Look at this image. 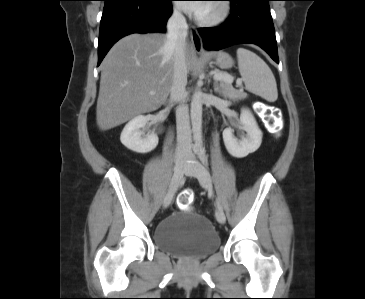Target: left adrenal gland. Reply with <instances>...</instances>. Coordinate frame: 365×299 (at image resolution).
I'll return each instance as SVG.
<instances>
[{"label": "left adrenal gland", "mask_w": 365, "mask_h": 299, "mask_svg": "<svg viewBox=\"0 0 365 299\" xmlns=\"http://www.w3.org/2000/svg\"><path fill=\"white\" fill-rule=\"evenodd\" d=\"M214 92L215 93H218L219 95H221V89H220V87H219V85H218L217 82L214 83Z\"/></svg>", "instance_id": "left-adrenal-gland-1"}]
</instances>
